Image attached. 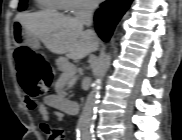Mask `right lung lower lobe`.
Returning <instances> with one entry per match:
<instances>
[{"mask_svg": "<svg viewBox=\"0 0 182 140\" xmlns=\"http://www.w3.org/2000/svg\"><path fill=\"white\" fill-rule=\"evenodd\" d=\"M132 0H107L97 10L94 20L96 31L105 41H109L113 30Z\"/></svg>", "mask_w": 182, "mask_h": 140, "instance_id": "right-lung-lower-lobe-1", "label": "right lung lower lobe"}]
</instances>
